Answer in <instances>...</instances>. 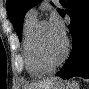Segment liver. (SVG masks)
Returning <instances> with one entry per match:
<instances>
[{
    "instance_id": "liver-1",
    "label": "liver",
    "mask_w": 89,
    "mask_h": 89,
    "mask_svg": "<svg viewBox=\"0 0 89 89\" xmlns=\"http://www.w3.org/2000/svg\"><path fill=\"white\" fill-rule=\"evenodd\" d=\"M57 82H61V81L57 78L38 81L36 83L31 84L28 89H51L52 86Z\"/></svg>"
}]
</instances>
